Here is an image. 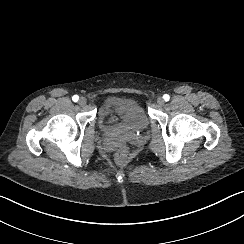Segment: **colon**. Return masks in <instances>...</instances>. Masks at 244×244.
<instances>
[{"instance_id":"colon-1","label":"colon","mask_w":244,"mask_h":244,"mask_svg":"<svg viewBox=\"0 0 244 244\" xmlns=\"http://www.w3.org/2000/svg\"><path fill=\"white\" fill-rule=\"evenodd\" d=\"M128 160V152L125 149H119L116 152L115 161L118 164H124Z\"/></svg>"}]
</instances>
